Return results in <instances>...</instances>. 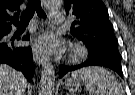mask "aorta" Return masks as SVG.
Segmentation results:
<instances>
[{
    "mask_svg": "<svg viewBox=\"0 0 135 95\" xmlns=\"http://www.w3.org/2000/svg\"><path fill=\"white\" fill-rule=\"evenodd\" d=\"M46 8H58L62 0H43ZM55 91V70L52 63L47 62L44 65L41 74L40 86H39V95H54Z\"/></svg>",
    "mask_w": 135,
    "mask_h": 95,
    "instance_id": "762f6f07",
    "label": "aorta"
}]
</instances>
